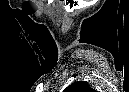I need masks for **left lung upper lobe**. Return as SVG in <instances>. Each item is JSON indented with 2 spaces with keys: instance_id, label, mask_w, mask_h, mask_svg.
<instances>
[{
  "instance_id": "obj_1",
  "label": "left lung upper lobe",
  "mask_w": 129,
  "mask_h": 92,
  "mask_svg": "<svg viewBox=\"0 0 129 92\" xmlns=\"http://www.w3.org/2000/svg\"><path fill=\"white\" fill-rule=\"evenodd\" d=\"M64 92H95L85 81H77L68 86Z\"/></svg>"
}]
</instances>
